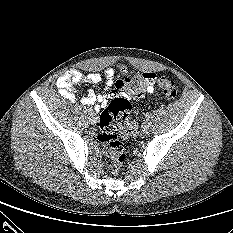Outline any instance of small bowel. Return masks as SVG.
Segmentation results:
<instances>
[{"label":"small bowel","instance_id":"small-bowel-1","mask_svg":"<svg viewBox=\"0 0 233 233\" xmlns=\"http://www.w3.org/2000/svg\"><path fill=\"white\" fill-rule=\"evenodd\" d=\"M118 70L124 76L122 79H115V70L107 68L103 75L105 78L104 85L99 89L87 90L85 96L81 98V102L87 105L103 104L108 97L114 94H121L126 98L133 97V94L128 89V80L130 75L128 69L123 64L117 65ZM144 76L145 83L142 90L151 93L154 90L155 74L152 72H145L141 74ZM102 75L97 72L84 74L77 69H70L64 72L57 80V87L60 94L68 101L74 102L77 99L79 86L82 83L91 85H98L102 82Z\"/></svg>","mask_w":233,"mask_h":233}]
</instances>
